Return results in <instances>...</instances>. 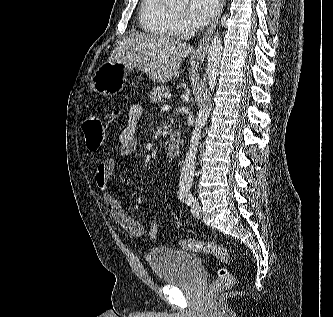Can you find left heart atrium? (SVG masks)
I'll return each mask as SVG.
<instances>
[{"mask_svg": "<svg viewBox=\"0 0 333 317\" xmlns=\"http://www.w3.org/2000/svg\"><path fill=\"white\" fill-rule=\"evenodd\" d=\"M218 0H189L185 12L190 24L196 27L206 25L215 15Z\"/></svg>", "mask_w": 333, "mask_h": 317, "instance_id": "obj_1", "label": "left heart atrium"}]
</instances>
